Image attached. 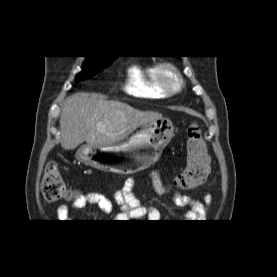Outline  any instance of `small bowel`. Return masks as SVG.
<instances>
[{"label": "small bowel", "instance_id": "obj_1", "mask_svg": "<svg viewBox=\"0 0 277 277\" xmlns=\"http://www.w3.org/2000/svg\"><path fill=\"white\" fill-rule=\"evenodd\" d=\"M153 186L159 195L166 193L164 181L161 178L159 171L152 172ZM135 185L134 178L126 180L123 188L115 192L113 199L119 206L120 212L116 215L118 220L140 221L160 220L161 214L158 209L149 206H143L139 203L133 193ZM173 201L176 205L187 207L184 218L190 222H198L206 217L209 205L211 202L210 195L206 194L203 200H197L183 195L179 191H174L172 194ZM94 205L105 214H112L114 211L113 203L106 196L92 192L85 195H79L73 202L72 206L61 205L57 209V218L59 222H70L76 213L87 205Z\"/></svg>", "mask_w": 277, "mask_h": 277}]
</instances>
